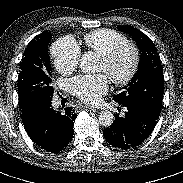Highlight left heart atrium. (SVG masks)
<instances>
[{
    "mask_svg": "<svg viewBox=\"0 0 183 183\" xmlns=\"http://www.w3.org/2000/svg\"><path fill=\"white\" fill-rule=\"evenodd\" d=\"M109 88L108 77L105 74L80 75L69 83L70 92L87 104H96L106 94Z\"/></svg>",
    "mask_w": 183,
    "mask_h": 183,
    "instance_id": "obj_1",
    "label": "left heart atrium"
}]
</instances>
